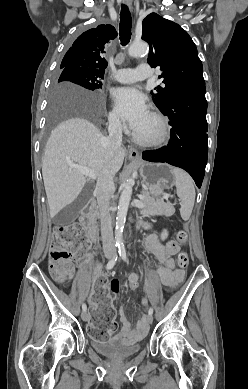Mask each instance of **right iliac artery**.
I'll return each instance as SVG.
<instances>
[{
    "label": "right iliac artery",
    "mask_w": 248,
    "mask_h": 389,
    "mask_svg": "<svg viewBox=\"0 0 248 389\" xmlns=\"http://www.w3.org/2000/svg\"><path fill=\"white\" fill-rule=\"evenodd\" d=\"M116 260H117V254H115L113 258L107 263L106 269H112L115 265ZM82 310L85 312L87 311V306L85 303L82 305Z\"/></svg>",
    "instance_id": "right-iliac-artery-1"
}]
</instances>
